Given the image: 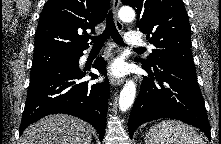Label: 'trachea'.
<instances>
[{
    "instance_id": "trachea-1",
    "label": "trachea",
    "mask_w": 221,
    "mask_h": 144,
    "mask_svg": "<svg viewBox=\"0 0 221 144\" xmlns=\"http://www.w3.org/2000/svg\"><path fill=\"white\" fill-rule=\"evenodd\" d=\"M110 37L113 39V41L116 44H118L120 46H125V43H124L121 35L119 34L118 30L116 29V26H115L114 20H113V14L111 11L108 13L106 28H105L104 32L102 34H100L99 36L91 37V40L93 42V47H102L104 42ZM136 49L137 50H144V48H136Z\"/></svg>"
}]
</instances>
